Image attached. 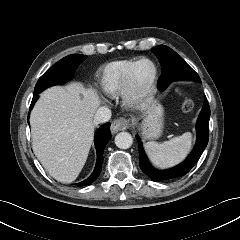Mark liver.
<instances>
[{"mask_svg": "<svg viewBox=\"0 0 240 240\" xmlns=\"http://www.w3.org/2000/svg\"><path fill=\"white\" fill-rule=\"evenodd\" d=\"M100 102L94 89L78 82L40 94L30 116L32 145L42 166L57 181L73 182L84 167Z\"/></svg>", "mask_w": 240, "mask_h": 240, "instance_id": "obj_1", "label": "liver"}]
</instances>
